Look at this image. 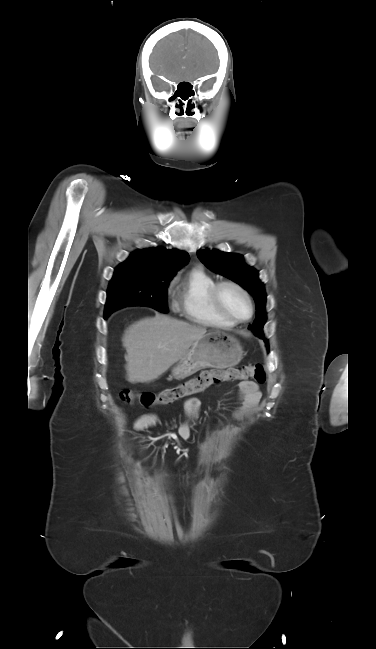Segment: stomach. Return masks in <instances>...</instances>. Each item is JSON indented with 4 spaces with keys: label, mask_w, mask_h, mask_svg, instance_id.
Segmentation results:
<instances>
[{
    "label": "stomach",
    "mask_w": 376,
    "mask_h": 649,
    "mask_svg": "<svg viewBox=\"0 0 376 649\" xmlns=\"http://www.w3.org/2000/svg\"><path fill=\"white\" fill-rule=\"evenodd\" d=\"M240 342L232 335L215 331L197 339L172 369L175 379H185L205 368L225 369L237 365L243 358Z\"/></svg>",
    "instance_id": "1"
}]
</instances>
